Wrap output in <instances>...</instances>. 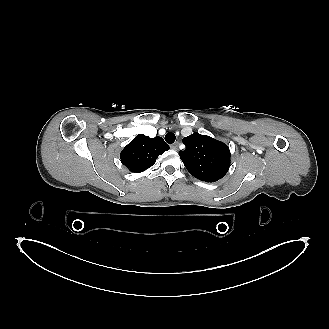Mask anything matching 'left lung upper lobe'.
<instances>
[{"mask_svg": "<svg viewBox=\"0 0 329 329\" xmlns=\"http://www.w3.org/2000/svg\"><path fill=\"white\" fill-rule=\"evenodd\" d=\"M183 143L186 149L179 152V155L195 178L215 182L229 170L231 154L223 142L195 132L183 138Z\"/></svg>", "mask_w": 329, "mask_h": 329, "instance_id": "5c2ea615", "label": "left lung upper lobe"}]
</instances>
